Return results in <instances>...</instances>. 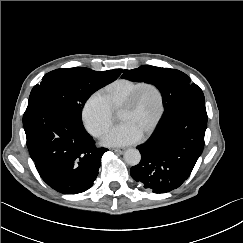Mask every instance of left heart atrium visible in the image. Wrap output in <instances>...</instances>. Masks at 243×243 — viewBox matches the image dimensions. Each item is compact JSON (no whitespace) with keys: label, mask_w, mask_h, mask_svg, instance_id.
Returning <instances> with one entry per match:
<instances>
[{"label":"left heart atrium","mask_w":243,"mask_h":243,"mask_svg":"<svg viewBox=\"0 0 243 243\" xmlns=\"http://www.w3.org/2000/svg\"><path fill=\"white\" fill-rule=\"evenodd\" d=\"M142 134L128 123H122L112 129L103 139L110 146H124L137 142Z\"/></svg>","instance_id":"39dd6f15"}]
</instances>
